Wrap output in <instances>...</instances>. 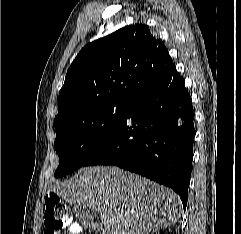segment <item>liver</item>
<instances>
[{
    "instance_id": "obj_1",
    "label": "liver",
    "mask_w": 241,
    "mask_h": 234,
    "mask_svg": "<svg viewBox=\"0 0 241 234\" xmlns=\"http://www.w3.org/2000/svg\"><path fill=\"white\" fill-rule=\"evenodd\" d=\"M51 191L74 211L97 213L102 222L92 228L100 234L153 233L175 224L181 215L182 203L174 191L115 166L82 168Z\"/></svg>"
}]
</instances>
